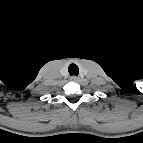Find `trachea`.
<instances>
[{
    "instance_id": "3493384b",
    "label": "trachea",
    "mask_w": 143,
    "mask_h": 143,
    "mask_svg": "<svg viewBox=\"0 0 143 143\" xmlns=\"http://www.w3.org/2000/svg\"><path fill=\"white\" fill-rule=\"evenodd\" d=\"M68 71L71 76H77L79 74V68L76 64H70L68 67Z\"/></svg>"
}]
</instances>
